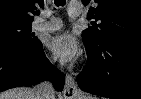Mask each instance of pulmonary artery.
<instances>
[{"mask_svg":"<svg viewBox=\"0 0 141 99\" xmlns=\"http://www.w3.org/2000/svg\"><path fill=\"white\" fill-rule=\"evenodd\" d=\"M82 8L79 4H71L68 8V14L71 17L80 15ZM62 27L60 19L53 17L49 11L43 10L40 17L34 21V28L43 32H54Z\"/></svg>","mask_w":141,"mask_h":99,"instance_id":"1","label":"pulmonary artery"}]
</instances>
